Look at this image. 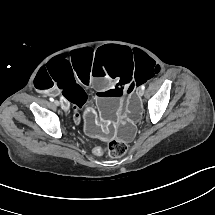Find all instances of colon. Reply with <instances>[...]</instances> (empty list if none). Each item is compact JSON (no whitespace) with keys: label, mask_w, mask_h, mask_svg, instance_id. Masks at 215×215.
Listing matches in <instances>:
<instances>
[{"label":"colon","mask_w":215,"mask_h":215,"mask_svg":"<svg viewBox=\"0 0 215 215\" xmlns=\"http://www.w3.org/2000/svg\"><path fill=\"white\" fill-rule=\"evenodd\" d=\"M80 96L84 97L83 93H79ZM127 151V144L123 141L110 142L107 146V154L109 156H122Z\"/></svg>","instance_id":"colon-1"}]
</instances>
